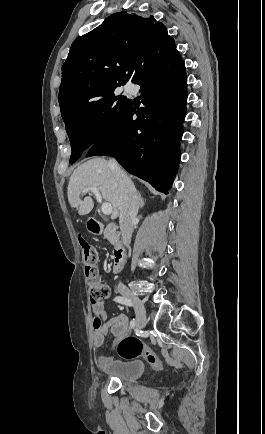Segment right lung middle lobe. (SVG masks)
<instances>
[{
    "instance_id": "obj_1",
    "label": "right lung middle lobe",
    "mask_w": 265,
    "mask_h": 434,
    "mask_svg": "<svg viewBox=\"0 0 265 434\" xmlns=\"http://www.w3.org/2000/svg\"><path fill=\"white\" fill-rule=\"evenodd\" d=\"M125 83L103 81L59 99L72 148L70 163L112 131L125 116L132 100L116 92L117 87Z\"/></svg>"
}]
</instances>
